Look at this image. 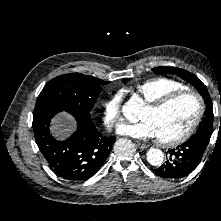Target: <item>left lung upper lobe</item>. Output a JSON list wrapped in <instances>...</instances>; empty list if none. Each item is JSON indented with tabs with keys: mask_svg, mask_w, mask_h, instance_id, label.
<instances>
[{
	"mask_svg": "<svg viewBox=\"0 0 221 221\" xmlns=\"http://www.w3.org/2000/svg\"><path fill=\"white\" fill-rule=\"evenodd\" d=\"M154 72H162V73H176L178 76H180L182 79H184L186 82L192 84L202 95L206 102V112L205 117L203 121L201 122L198 130L196 133L198 134H212L213 131V106L212 102L209 96V93L207 91L206 86L202 83V81L195 76L194 74L180 68L176 67H156L152 69Z\"/></svg>",
	"mask_w": 221,
	"mask_h": 221,
	"instance_id": "obj_1",
	"label": "left lung upper lobe"
}]
</instances>
